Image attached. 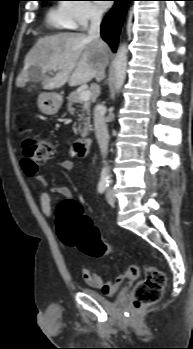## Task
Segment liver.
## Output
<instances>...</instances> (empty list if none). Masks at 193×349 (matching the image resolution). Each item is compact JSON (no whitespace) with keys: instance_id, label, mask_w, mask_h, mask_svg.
Here are the masks:
<instances>
[{"instance_id":"6515ba94","label":"liver","mask_w":193,"mask_h":349,"mask_svg":"<svg viewBox=\"0 0 193 349\" xmlns=\"http://www.w3.org/2000/svg\"><path fill=\"white\" fill-rule=\"evenodd\" d=\"M110 48L102 40L89 38L84 33H59L40 38L26 55L24 69L17 77V86L30 80V69L41 71L43 89H57L85 84L104 77L109 62ZM53 71V77L48 76Z\"/></svg>"}]
</instances>
